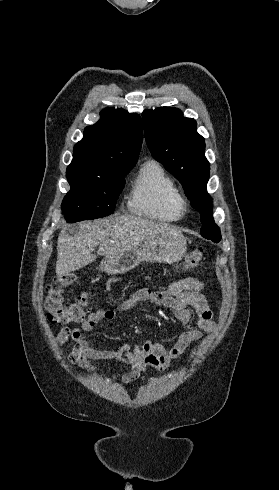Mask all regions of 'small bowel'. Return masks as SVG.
<instances>
[{
    "label": "small bowel",
    "instance_id": "1",
    "mask_svg": "<svg viewBox=\"0 0 279 490\" xmlns=\"http://www.w3.org/2000/svg\"><path fill=\"white\" fill-rule=\"evenodd\" d=\"M203 289L204 283L196 278L178 280L166 291L140 289L122 302L116 310H95L87 316L79 327H64L57 330L54 335V342L61 346L72 339L75 345L67 360L70 364H79L88 371H94L91 360L112 361L128 367L127 373L114 378L123 383H130L142 375L148 367L159 370L165 369L173 359L184 354L190 346L200 341L205 333H210L214 329L212 311L202 293ZM140 302H149L171 308L176 317L185 325L192 319V314L188 309L191 307L197 315V328L189 327L182 331L170 350L153 340H147L142 345L135 346L123 343L109 349L88 342L84 335L85 332L92 330L100 321L115 319L119 312L129 311Z\"/></svg>",
    "mask_w": 279,
    "mask_h": 490
}]
</instances>
